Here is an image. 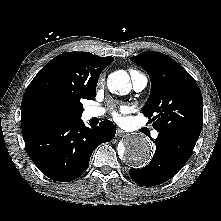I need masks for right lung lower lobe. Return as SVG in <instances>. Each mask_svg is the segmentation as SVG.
<instances>
[{"mask_svg":"<svg viewBox=\"0 0 221 221\" xmlns=\"http://www.w3.org/2000/svg\"><path fill=\"white\" fill-rule=\"evenodd\" d=\"M109 121L88 128L81 119L53 122L23 131L27 152L47 177L69 182L81 176L89 165L92 152L115 136Z\"/></svg>","mask_w":221,"mask_h":221,"instance_id":"right-lung-lower-lobe-1","label":"right lung lower lobe"}]
</instances>
